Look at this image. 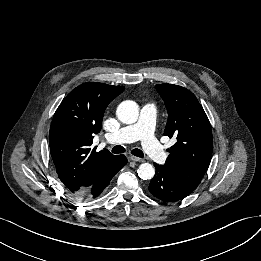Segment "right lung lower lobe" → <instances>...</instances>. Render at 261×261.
<instances>
[{
	"mask_svg": "<svg viewBox=\"0 0 261 261\" xmlns=\"http://www.w3.org/2000/svg\"><path fill=\"white\" fill-rule=\"evenodd\" d=\"M126 163L127 158L124 155L113 156L100 169L93 184L76 195L87 200L99 197L105 192L111 179Z\"/></svg>",
	"mask_w": 261,
	"mask_h": 261,
	"instance_id": "98d812e1",
	"label": "right lung lower lobe"
}]
</instances>
